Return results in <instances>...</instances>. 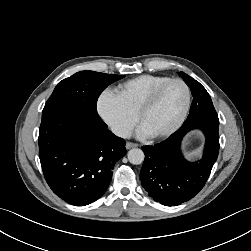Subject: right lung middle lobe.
<instances>
[{
  "instance_id": "dd1d6c3e",
  "label": "right lung middle lobe",
  "mask_w": 251,
  "mask_h": 251,
  "mask_svg": "<svg viewBox=\"0 0 251 251\" xmlns=\"http://www.w3.org/2000/svg\"><path fill=\"white\" fill-rule=\"evenodd\" d=\"M125 75L105 74L94 71L77 72L57 84L44 111L65 105H80L97 111V99L101 92L111 83L124 78Z\"/></svg>"
}]
</instances>
